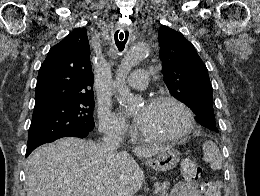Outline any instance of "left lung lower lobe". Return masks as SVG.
Segmentation results:
<instances>
[{"label": "left lung lower lobe", "instance_id": "0a47b994", "mask_svg": "<svg viewBox=\"0 0 260 196\" xmlns=\"http://www.w3.org/2000/svg\"><path fill=\"white\" fill-rule=\"evenodd\" d=\"M196 120L203 126H208L215 122V115L213 110L201 108L195 111Z\"/></svg>", "mask_w": 260, "mask_h": 196}]
</instances>
